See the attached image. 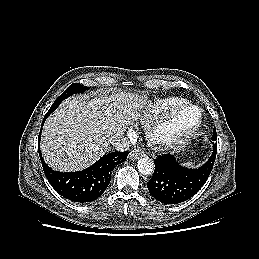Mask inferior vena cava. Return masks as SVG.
<instances>
[{
  "label": "inferior vena cava",
  "instance_id": "inferior-vena-cava-1",
  "mask_svg": "<svg viewBox=\"0 0 259 259\" xmlns=\"http://www.w3.org/2000/svg\"><path fill=\"white\" fill-rule=\"evenodd\" d=\"M112 145L117 151H127L130 148L131 143L126 137H119Z\"/></svg>",
  "mask_w": 259,
  "mask_h": 259
}]
</instances>
